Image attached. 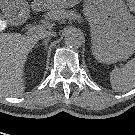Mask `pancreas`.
Listing matches in <instances>:
<instances>
[{"mask_svg": "<svg viewBox=\"0 0 135 135\" xmlns=\"http://www.w3.org/2000/svg\"><path fill=\"white\" fill-rule=\"evenodd\" d=\"M73 15L70 11H65L64 9L51 10L45 14V18L49 20H61Z\"/></svg>", "mask_w": 135, "mask_h": 135, "instance_id": "obj_1", "label": "pancreas"}]
</instances>
